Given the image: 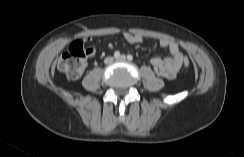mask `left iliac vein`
Returning a JSON list of instances; mask_svg holds the SVG:
<instances>
[{"label":"left iliac vein","instance_id":"4c4485c4","mask_svg":"<svg viewBox=\"0 0 244 157\" xmlns=\"http://www.w3.org/2000/svg\"><path fill=\"white\" fill-rule=\"evenodd\" d=\"M116 60L125 61L126 60V56L125 55H121L118 58H116Z\"/></svg>","mask_w":244,"mask_h":157}]
</instances>
